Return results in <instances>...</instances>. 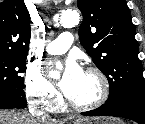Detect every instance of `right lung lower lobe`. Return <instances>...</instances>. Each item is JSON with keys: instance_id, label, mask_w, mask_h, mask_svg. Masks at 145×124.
<instances>
[{"instance_id": "98d812e1", "label": "right lung lower lobe", "mask_w": 145, "mask_h": 124, "mask_svg": "<svg viewBox=\"0 0 145 124\" xmlns=\"http://www.w3.org/2000/svg\"><path fill=\"white\" fill-rule=\"evenodd\" d=\"M23 89H0V109L26 108Z\"/></svg>"}]
</instances>
